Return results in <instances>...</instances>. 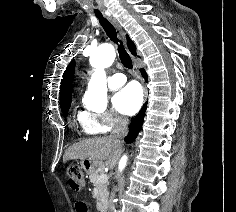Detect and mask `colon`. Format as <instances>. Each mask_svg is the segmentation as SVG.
Segmentation results:
<instances>
[{
  "instance_id": "obj_1",
  "label": "colon",
  "mask_w": 236,
  "mask_h": 212,
  "mask_svg": "<svg viewBox=\"0 0 236 212\" xmlns=\"http://www.w3.org/2000/svg\"><path fill=\"white\" fill-rule=\"evenodd\" d=\"M68 181L70 187L75 190L79 191L84 188L85 186V176L83 171L77 166H71L67 170Z\"/></svg>"
}]
</instances>
